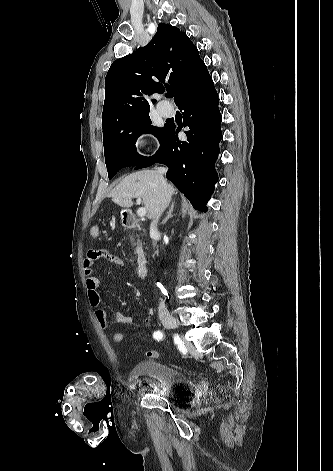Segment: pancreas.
<instances>
[{
  "label": "pancreas",
  "mask_w": 333,
  "mask_h": 471,
  "mask_svg": "<svg viewBox=\"0 0 333 471\" xmlns=\"http://www.w3.org/2000/svg\"><path fill=\"white\" fill-rule=\"evenodd\" d=\"M137 237H138V243H139V244H138V248H141V241H140V239H139L140 236L138 235ZM134 238H135V237L131 236V238H130L131 242H134Z\"/></svg>",
  "instance_id": "cf45deb5"
}]
</instances>
